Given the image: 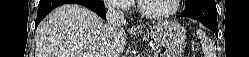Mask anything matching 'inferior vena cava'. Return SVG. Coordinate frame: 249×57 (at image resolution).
<instances>
[{
    "mask_svg": "<svg viewBox=\"0 0 249 57\" xmlns=\"http://www.w3.org/2000/svg\"><path fill=\"white\" fill-rule=\"evenodd\" d=\"M107 27L110 32H117L126 24V19L121 10L109 4L106 12Z\"/></svg>",
    "mask_w": 249,
    "mask_h": 57,
    "instance_id": "1",
    "label": "inferior vena cava"
}]
</instances>
